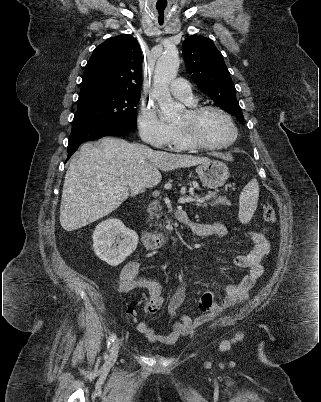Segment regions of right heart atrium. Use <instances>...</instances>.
Instances as JSON below:
<instances>
[{
	"mask_svg": "<svg viewBox=\"0 0 321 402\" xmlns=\"http://www.w3.org/2000/svg\"><path fill=\"white\" fill-rule=\"evenodd\" d=\"M137 127L139 135L145 143L157 148L170 145L173 127L163 122L153 107L141 106L137 115Z\"/></svg>",
	"mask_w": 321,
	"mask_h": 402,
	"instance_id": "obj_1",
	"label": "right heart atrium"
}]
</instances>
